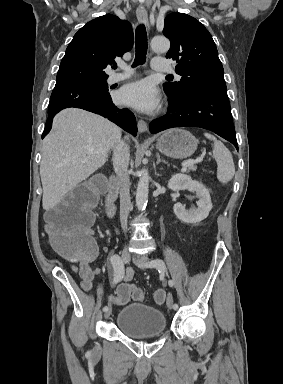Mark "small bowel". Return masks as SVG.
<instances>
[{
	"label": "small bowel",
	"mask_w": 283,
	"mask_h": 384,
	"mask_svg": "<svg viewBox=\"0 0 283 384\" xmlns=\"http://www.w3.org/2000/svg\"><path fill=\"white\" fill-rule=\"evenodd\" d=\"M73 269L81 280L82 288L87 291L92 288L94 279L101 275V269H92L89 266V261H80L77 265L73 266ZM133 275V269L131 267H127L123 278L119 282L127 284L131 281Z\"/></svg>",
	"instance_id": "1"
}]
</instances>
